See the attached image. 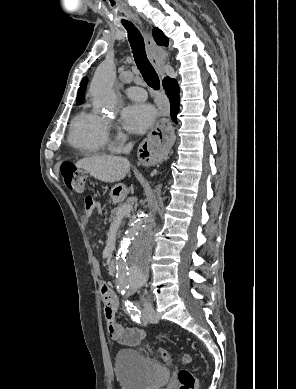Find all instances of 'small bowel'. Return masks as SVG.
<instances>
[{
  "label": "small bowel",
  "mask_w": 296,
  "mask_h": 389,
  "mask_svg": "<svg viewBox=\"0 0 296 389\" xmlns=\"http://www.w3.org/2000/svg\"><path fill=\"white\" fill-rule=\"evenodd\" d=\"M101 213V205L92 197L85 198L82 209L81 221L87 225L93 212ZM100 295L104 305V316L107 323V330L112 340L122 345H138L145 337L143 329L138 327L126 328L116 320V310L119 300L113 289L106 283L100 287Z\"/></svg>",
  "instance_id": "c3829d8e"
}]
</instances>
